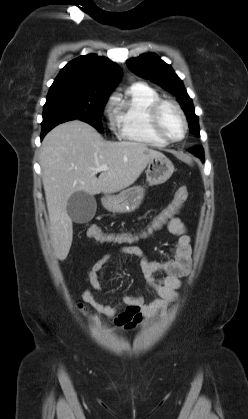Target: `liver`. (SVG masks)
I'll list each match as a JSON object with an SVG mask.
<instances>
[{
  "instance_id": "1",
  "label": "liver",
  "mask_w": 248,
  "mask_h": 419,
  "mask_svg": "<svg viewBox=\"0 0 248 419\" xmlns=\"http://www.w3.org/2000/svg\"><path fill=\"white\" fill-rule=\"evenodd\" d=\"M160 151L138 142H108L91 125L72 120L58 125L44 138L40 166L57 258L65 260L72 244V219L67 213L71 195L115 193L132 185ZM106 164L108 171L93 169Z\"/></svg>"
}]
</instances>
